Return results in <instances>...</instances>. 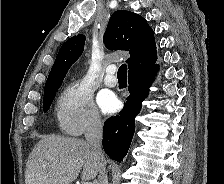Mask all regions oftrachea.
Instances as JSON below:
<instances>
[{"instance_id":"3493384b","label":"trachea","mask_w":224,"mask_h":184,"mask_svg":"<svg viewBox=\"0 0 224 184\" xmlns=\"http://www.w3.org/2000/svg\"><path fill=\"white\" fill-rule=\"evenodd\" d=\"M118 79H127V66L126 64H122L117 72Z\"/></svg>"}]
</instances>
